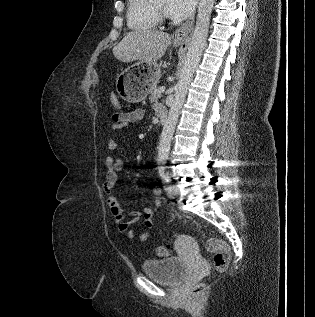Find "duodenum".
<instances>
[{"label":"duodenum","mask_w":315,"mask_h":317,"mask_svg":"<svg viewBox=\"0 0 315 317\" xmlns=\"http://www.w3.org/2000/svg\"><path fill=\"white\" fill-rule=\"evenodd\" d=\"M168 113L167 110L163 107L158 109V119L161 125H164L167 121Z\"/></svg>","instance_id":"duodenum-1"}]
</instances>
